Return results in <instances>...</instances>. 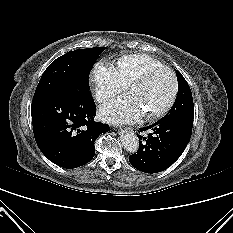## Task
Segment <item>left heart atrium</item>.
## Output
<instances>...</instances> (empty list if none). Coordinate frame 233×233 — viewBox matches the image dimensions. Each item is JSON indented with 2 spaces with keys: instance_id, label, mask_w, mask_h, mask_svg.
Masks as SVG:
<instances>
[{
  "instance_id": "39dd6f15",
  "label": "left heart atrium",
  "mask_w": 233,
  "mask_h": 233,
  "mask_svg": "<svg viewBox=\"0 0 233 233\" xmlns=\"http://www.w3.org/2000/svg\"><path fill=\"white\" fill-rule=\"evenodd\" d=\"M141 115V108L132 94L121 96L100 109V116L113 123H131L138 120Z\"/></svg>"
}]
</instances>
